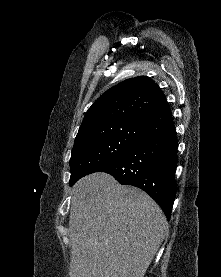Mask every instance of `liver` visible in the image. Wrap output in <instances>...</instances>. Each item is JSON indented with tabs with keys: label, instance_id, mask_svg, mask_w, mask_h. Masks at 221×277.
<instances>
[{
	"label": "liver",
	"instance_id": "liver-1",
	"mask_svg": "<svg viewBox=\"0 0 221 277\" xmlns=\"http://www.w3.org/2000/svg\"><path fill=\"white\" fill-rule=\"evenodd\" d=\"M71 195L70 277H144L168 233L158 204L100 172L78 180Z\"/></svg>",
	"mask_w": 221,
	"mask_h": 277
}]
</instances>
